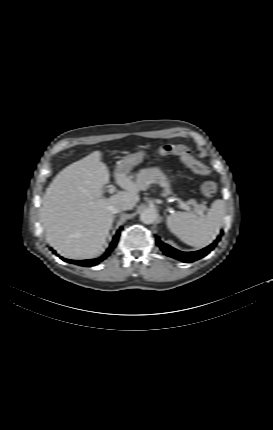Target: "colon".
Segmentation results:
<instances>
[{
  "label": "colon",
  "instance_id": "5ec220e1",
  "mask_svg": "<svg viewBox=\"0 0 273 430\" xmlns=\"http://www.w3.org/2000/svg\"><path fill=\"white\" fill-rule=\"evenodd\" d=\"M158 152L162 155L178 156L184 165L194 174H209V168L197 160L191 153L190 149L184 145L164 144L159 147ZM216 191L217 186L212 181H206L201 185V192L207 198L213 197L216 194Z\"/></svg>",
  "mask_w": 273,
  "mask_h": 430
}]
</instances>
